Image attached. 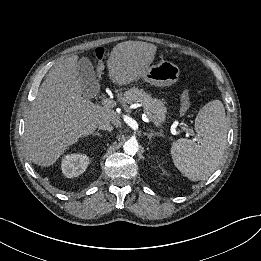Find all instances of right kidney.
<instances>
[{"mask_svg": "<svg viewBox=\"0 0 261 261\" xmlns=\"http://www.w3.org/2000/svg\"><path fill=\"white\" fill-rule=\"evenodd\" d=\"M89 164V157L86 154H68L61 162V170L68 178L82 174Z\"/></svg>", "mask_w": 261, "mask_h": 261, "instance_id": "right-kidney-1", "label": "right kidney"}]
</instances>
